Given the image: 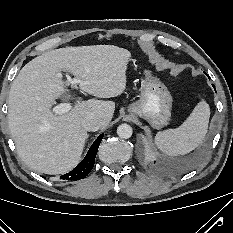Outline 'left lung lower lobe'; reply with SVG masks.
Returning <instances> with one entry per match:
<instances>
[{
	"mask_svg": "<svg viewBox=\"0 0 233 233\" xmlns=\"http://www.w3.org/2000/svg\"><path fill=\"white\" fill-rule=\"evenodd\" d=\"M205 73V72H204ZM206 74V73H205ZM207 76H208V74H206ZM209 77V76H208ZM213 87H214V89H215V86L214 85H212Z\"/></svg>",
	"mask_w": 233,
	"mask_h": 233,
	"instance_id": "obj_1",
	"label": "left lung lower lobe"
}]
</instances>
